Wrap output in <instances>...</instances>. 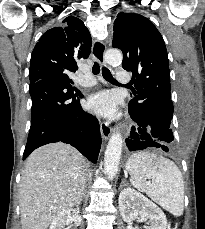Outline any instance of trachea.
Instances as JSON below:
<instances>
[{
    "mask_svg": "<svg viewBox=\"0 0 205 229\" xmlns=\"http://www.w3.org/2000/svg\"><path fill=\"white\" fill-rule=\"evenodd\" d=\"M92 71H93V74L95 75L100 72V65L98 62L94 63ZM102 75L108 82L118 84V82L113 78L111 72L107 68L105 67L102 68Z\"/></svg>",
    "mask_w": 205,
    "mask_h": 229,
    "instance_id": "3493384b",
    "label": "trachea"
}]
</instances>
